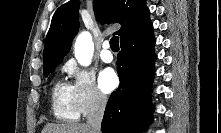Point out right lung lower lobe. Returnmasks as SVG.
I'll return each instance as SVG.
<instances>
[{
  "mask_svg": "<svg viewBox=\"0 0 221 133\" xmlns=\"http://www.w3.org/2000/svg\"><path fill=\"white\" fill-rule=\"evenodd\" d=\"M154 44L153 31L121 42L117 58L120 85L108 100L101 126L103 133H138L142 124L151 122Z\"/></svg>",
  "mask_w": 221,
  "mask_h": 133,
  "instance_id": "98d812e1",
  "label": "right lung lower lobe"
}]
</instances>
